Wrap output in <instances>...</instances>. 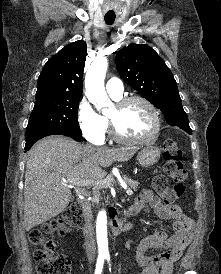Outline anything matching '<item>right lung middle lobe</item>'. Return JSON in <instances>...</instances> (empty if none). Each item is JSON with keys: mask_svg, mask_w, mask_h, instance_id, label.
Listing matches in <instances>:
<instances>
[{"mask_svg": "<svg viewBox=\"0 0 221 274\" xmlns=\"http://www.w3.org/2000/svg\"><path fill=\"white\" fill-rule=\"evenodd\" d=\"M80 97L66 96L36 99L26 128L25 139L51 131H63L82 136L78 124Z\"/></svg>", "mask_w": 221, "mask_h": 274, "instance_id": "obj_1", "label": "right lung middle lobe"}]
</instances>
